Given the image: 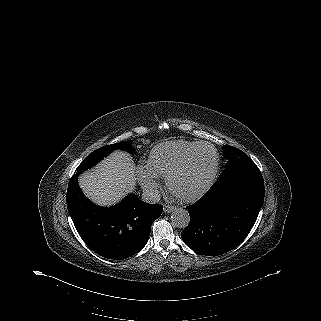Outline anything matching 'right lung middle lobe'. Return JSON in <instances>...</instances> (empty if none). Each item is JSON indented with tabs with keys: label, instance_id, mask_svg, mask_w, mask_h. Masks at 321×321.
<instances>
[{
	"label": "right lung middle lobe",
	"instance_id": "right-lung-middle-lobe-1",
	"mask_svg": "<svg viewBox=\"0 0 321 321\" xmlns=\"http://www.w3.org/2000/svg\"><path fill=\"white\" fill-rule=\"evenodd\" d=\"M115 149H123L130 153H134L135 149L131 144V141H124L119 142L111 145H107L105 147L99 148L92 153H90L79 165V167L76 169L75 172H77V175L85 171L86 169L94 166L97 164L100 160L103 159V157L107 156L109 153L114 151Z\"/></svg>",
	"mask_w": 321,
	"mask_h": 321
}]
</instances>
